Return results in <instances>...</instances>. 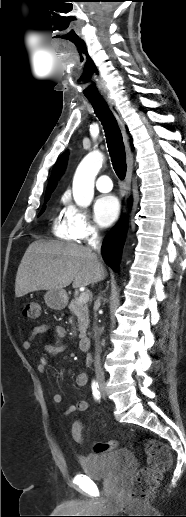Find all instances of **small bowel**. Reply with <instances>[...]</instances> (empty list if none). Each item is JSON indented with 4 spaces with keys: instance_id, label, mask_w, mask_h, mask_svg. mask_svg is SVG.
<instances>
[{
    "instance_id": "1",
    "label": "small bowel",
    "mask_w": 186,
    "mask_h": 517,
    "mask_svg": "<svg viewBox=\"0 0 186 517\" xmlns=\"http://www.w3.org/2000/svg\"><path fill=\"white\" fill-rule=\"evenodd\" d=\"M50 330L53 332L54 340H53V342L45 345L46 352L51 356H56L64 351H66L68 349V345L63 342V339L66 335L65 329L60 326H52L49 324H41L39 326H36L30 332V334L26 337V339L23 341V344H22L23 348L26 350L30 349L32 346V343L38 336H40ZM48 365H49V362H48L47 358H45V357L39 358V361L37 364V368L39 371H45L47 369ZM87 383H88L87 373L81 372L76 376V379H75L76 386L84 387ZM53 401L55 403H60L62 401V395L60 393H55L53 395ZM88 408H89V402L86 400H80L76 404L69 406L66 409L65 414L70 415L75 412H84ZM78 424L79 423H75L74 426L78 425ZM81 434H82V429H81Z\"/></svg>"
}]
</instances>
